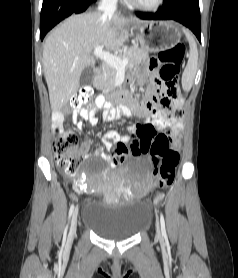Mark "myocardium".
<instances>
[{
	"label": "myocardium",
	"instance_id": "obj_1",
	"mask_svg": "<svg viewBox=\"0 0 238 278\" xmlns=\"http://www.w3.org/2000/svg\"><path fill=\"white\" fill-rule=\"evenodd\" d=\"M131 5L135 7L136 9L143 11V12H156L160 9V7L163 5L164 0H155V2L151 5H145L137 0H129Z\"/></svg>",
	"mask_w": 238,
	"mask_h": 278
}]
</instances>
